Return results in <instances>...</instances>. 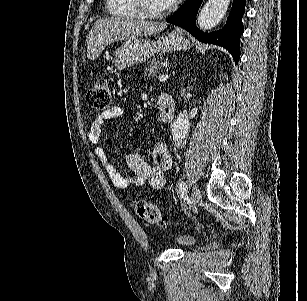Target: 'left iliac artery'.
<instances>
[{"label":"left iliac artery","mask_w":307,"mask_h":301,"mask_svg":"<svg viewBox=\"0 0 307 301\" xmlns=\"http://www.w3.org/2000/svg\"><path fill=\"white\" fill-rule=\"evenodd\" d=\"M178 189H179L180 191H186V189H187V184H186L185 182H180V183L178 184Z\"/></svg>","instance_id":"obj_1"}]
</instances>
